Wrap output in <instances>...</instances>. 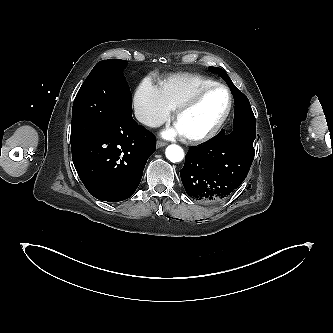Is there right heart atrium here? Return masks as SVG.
I'll use <instances>...</instances> for the list:
<instances>
[{
  "label": "right heart atrium",
  "mask_w": 333,
  "mask_h": 333,
  "mask_svg": "<svg viewBox=\"0 0 333 333\" xmlns=\"http://www.w3.org/2000/svg\"><path fill=\"white\" fill-rule=\"evenodd\" d=\"M134 110L137 119L152 128L163 124L171 115V109L164 101L159 88L149 80L143 81L137 88Z\"/></svg>",
  "instance_id": "obj_1"
}]
</instances>
